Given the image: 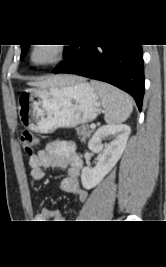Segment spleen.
Masks as SVG:
<instances>
[{"label":"spleen","mask_w":166,"mask_h":267,"mask_svg":"<svg viewBox=\"0 0 166 267\" xmlns=\"http://www.w3.org/2000/svg\"><path fill=\"white\" fill-rule=\"evenodd\" d=\"M91 84L98 92L102 106L105 109V122L119 124L126 121L133 110L131 97L106 83L91 81Z\"/></svg>","instance_id":"1"}]
</instances>
